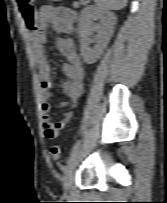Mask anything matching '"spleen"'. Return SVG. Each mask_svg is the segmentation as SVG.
Here are the masks:
<instances>
[{"label":"spleen","instance_id":"spleen-1","mask_svg":"<svg viewBox=\"0 0 167 203\" xmlns=\"http://www.w3.org/2000/svg\"><path fill=\"white\" fill-rule=\"evenodd\" d=\"M95 3L103 9L120 10L126 6L127 0H95Z\"/></svg>","mask_w":167,"mask_h":203}]
</instances>
